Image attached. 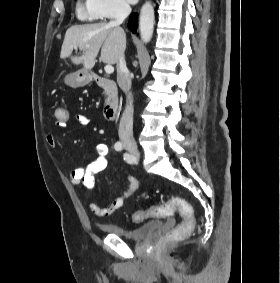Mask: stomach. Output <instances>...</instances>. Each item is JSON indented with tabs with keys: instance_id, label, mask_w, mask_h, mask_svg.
<instances>
[{
	"instance_id": "obj_1",
	"label": "stomach",
	"mask_w": 280,
	"mask_h": 283,
	"mask_svg": "<svg viewBox=\"0 0 280 283\" xmlns=\"http://www.w3.org/2000/svg\"><path fill=\"white\" fill-rule=\"evenodd\" d=\"M91 81L90 73L82 69L65 77V83L72 87L84 86Z\"/></svg>"
}]
</instances>
